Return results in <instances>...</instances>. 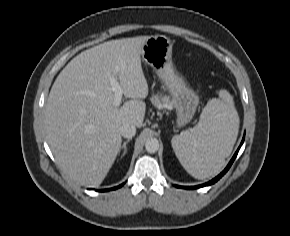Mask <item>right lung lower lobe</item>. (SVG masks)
Wrapping results in <instances>:
<instances>
[{
	"label": "right lung lower lobe",
	"instance_id": "98d812e1",
	"mask_svg": "<svg viewBox=\"0 0 290 236\" xmlns=\"http://www.w3.org/2000/svg\"><path fill=\"white\" fill-rule=\"evenodd\" d=\"M123 184H121L120 186H117V187H115V188H110V189H107V190H114V189H117V188H119V187H121Z\"/></svg>",
	"mask_w": 290,
	"mask_h": 236
}]
</instances>
